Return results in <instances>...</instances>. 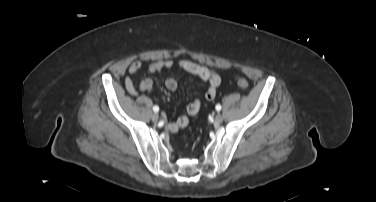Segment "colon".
I'll return each instance as SVG.
<instances>
[{
  "mask_svg": "<svg viewBox=\"0 0 376 202\" xmlns=\"http://www.w3.org/2000/svg\"><path fill=\"white\" fill-rule=\"evenodd\" d=\"M236 84L238 87L242 88V89H245L248 87L249 83L247 81L246 78L244 77H237L236 78ZM196 110V108H194V111Z\"/></svg>",
  "mask_w": 376,
  "mask_h": 202,
  "instance_id": "5ec220e1",
  "label": "colon"
}]
</instances>
